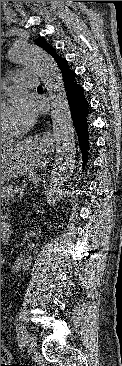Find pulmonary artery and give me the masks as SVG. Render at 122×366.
I'll use <instances>...</instances> for the list:
<instances>
[{
  "instance_id": "1",
  "label": "pulmonary artery",
  "mask_w": 122,
  "mask_h": 366,
  "mask_svg": "<svg viewBox=\"0 0 122 366\" xmlns=\"http://www.w3.org/2000/svg\"><path fill=\"white\" fill-rule=\"evenodd\" d=\"M13 80L16 84L26 88L36 89L40 85L41 77L38 72L31 69H20L13 73Z\"/></svg>"
}]
</instances>
